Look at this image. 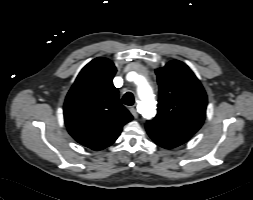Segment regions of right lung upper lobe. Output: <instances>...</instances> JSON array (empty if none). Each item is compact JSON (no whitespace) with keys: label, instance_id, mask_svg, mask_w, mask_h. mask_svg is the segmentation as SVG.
I'll return each mask as SVG.
<instances>
[{"label":"right lung upper lobe","instance_id":"obj_1","mask_svg":"<svg viewBox=\"0 0 253 200\" xmlns=\"http://www.w3.org/2000/svg\"><path fill=\"white\" fill-rule=\"evenodd\" d=\"M116 67L98 57L79 73L67 94L64 119L70 135L80 144L102 150L118 138L132 115L120 103L113 85Z\"/></svg>","mask_w":253,"mask_h":200}]
</instances>
